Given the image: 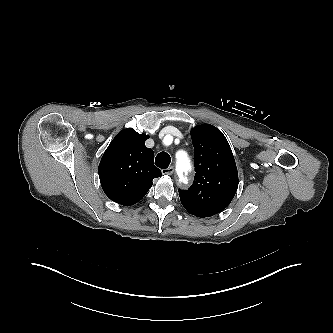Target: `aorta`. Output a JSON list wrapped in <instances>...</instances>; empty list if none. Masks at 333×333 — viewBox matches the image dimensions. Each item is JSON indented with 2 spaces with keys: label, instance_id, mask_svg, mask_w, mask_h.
Returning <instances> with one entry per match:
<instances>
[{
  "label": "aorta",
  "instance_id": "762f6f07",
  "mask_svg": "<svg viewBox=\"0 0 333 333\" xmlns=\"http://www.w3.org/2000/svg\"><path fill=\"white\" fill-rule=\"evenodd\" d=\"M177 169L181 173L188 172L191 169L190 159L187 156H183L182 158H178V160H177Z\"/></svg>",
  "mask_w": 333,
  "mask_h": 333
}]
</instances>
